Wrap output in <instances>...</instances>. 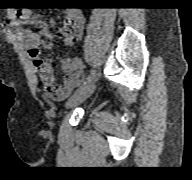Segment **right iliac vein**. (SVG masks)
Listing matches in <instances>:
<instances>
[{
    "label": "right iliac vein",
    "instance_id": "obj_1",
    "mask_svg": "<svg viewBox=\"0 0 192 180\" xmlns=\"http://www.w3.org/2000/svg\"><path fill=\"white\" fill-rule=\"evenodd\" d=\"M95 79L83 87L82 89L78 90L73 96L69 98V100L65 104V108H74L75 106L84 102L87 98H89L95 89Z\"/></svg>",
    "mask_w": 192,
    "mask_h": 180
}]
</instances>
